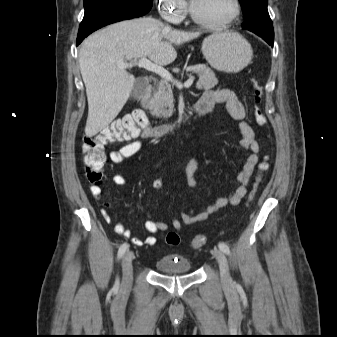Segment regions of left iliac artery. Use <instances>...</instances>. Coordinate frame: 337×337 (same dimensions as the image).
<instances>
[{
  "label": "left iliac artery",
  "mask_w": 337,
  "mask_h": 337,
  "mask_svg": "<svg viewBox=\"0 0 337 337\" xmlns=\"http://www.w3.org/2000/svg\"><path fill=\"white\" fill-rule=\"evenodd\" d=\"M218 247H219V249H220L223 253H225V254H227V255L230 254V249H229L228 245H226L225 243L220 242V243L218 244Z\"/></svg>",
  "instance_id": "44dca946"
}]
</instances>
